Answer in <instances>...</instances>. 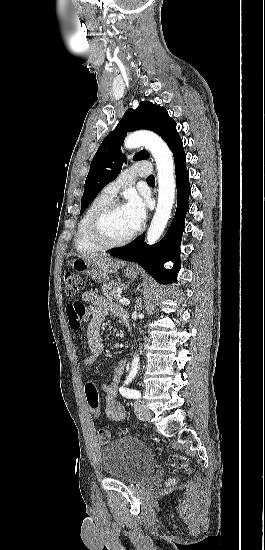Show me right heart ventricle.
<instances>
[{"instance_id":"right-heart-ventricle-1","label":"right heart ventricle","mask_w":265,"mask_h":550,"mask_svg":"<svg viewBox=\"0 0 265 550\" xmlns=\"http://www.w3.org/2000/svg\"><path fill=\"white\" fill-rule=\"evenodd\" d=\"M112 197L101 192L87 206L82 214L75 231L74 246L80 253H91L102 249V247L92 242L87 235V224L93 213L104 204L110 202Z\"/></svg>"}]
</instances>
